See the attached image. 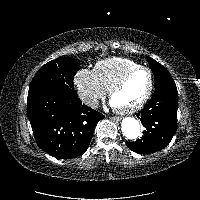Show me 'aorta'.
I'll list each match as a JSON object with an SVG mask.
<instances>
[{
    "label": "aorta",
    "instance_id": "1",
    "mask_svg": "<svg viewBox=\"0 0 200 200\" xmlns=\"http://www.w3.org/2000/svg\"><path fill=\"white\" fill-rule=\"evenodd\" d=\"M121 129L127 139H137L140 135V123L133 117H126L122 120Z\"/></svg>",
    "mask_w": 200,
    "mask_h": 200
}]
</instances>
